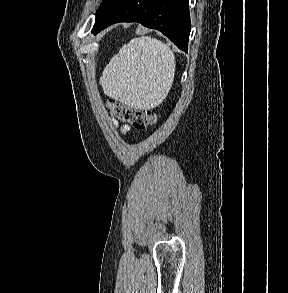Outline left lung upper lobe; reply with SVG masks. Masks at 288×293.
<instances>
[{
	"label": "left lung upper lobe",
	"instance_id": "1",
	"mask_svg": "<svg viewBox=\"0 0 288 293\" xmlns=\"http://www.w3.org/2000/svg\"><path fill=\"white\" fill-rule=\"evenodd\" d=\"M120 0H103L100 8L96 14V22L102 20L118 3Z\"/></svg>",
	"mask_w": 288,
	"mask_h": 293
}]
</instances>
